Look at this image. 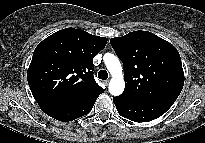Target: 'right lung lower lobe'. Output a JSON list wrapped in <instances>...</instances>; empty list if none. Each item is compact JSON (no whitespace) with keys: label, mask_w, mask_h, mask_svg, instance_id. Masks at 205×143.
Wrapping results in <instances>:
<instances>
[{"label":"right lung lower lobe","mask_w":205,"mask_h":143,"mask_svg":"<svg viewBox=\"0 0 205 143\" xmlns=\"http://www.w3.org/2000/svg\"><path fill=\"white\" fill-rule=\"evenodd\" d=\"M101 93L95 94L93 95L89 100L85 101L84 103H82L79 106L73 107V108H49V107H42L41 109L48 114L49 116H51L52 118H55L57 120L60 121H72L75 120L79 117H82L86 114H88L97 97L100 95Z\"/></svg>","instance_id":"1"}]
</instances>
